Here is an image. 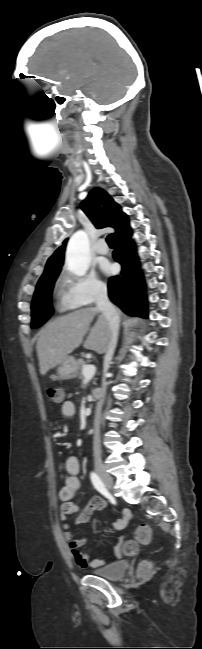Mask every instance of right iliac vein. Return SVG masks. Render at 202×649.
Returning <instances> with one entry per match:
<instances>
[{
	"mask_svg": "<svg viewBox=\"0 0 202 649\" xmlns=\"http://www.w3.org/2000/svg\"><path fill=\"white\" fill-rule=\"evenodd\" d=\"M95 470L98 473V475L100 476L101 480L104 482V484L109 488H113V485H114L113 479L107 473V471H106L105 467L103 466V464H101L100 462H96L95 463Z\"/></svg>",
	"mask_w": 202,
	"mask_h": 649,
	"instance_id": "63e3f726",
	"label": "right iliac vein"
}]
</instances>
